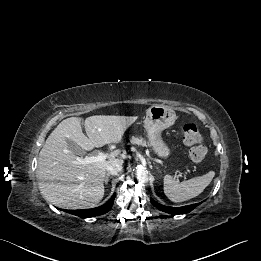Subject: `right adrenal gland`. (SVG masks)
<instances>
[{
	"instance_id": "2a0ac1e0",
	"label": "right adrenal gland",
	"mask_w": 261,
	"mask_h": 261,
	"mask_svg": "<svg viewBox=\"0 0 261 261\" xmlns=\"http://www.w3.org/2000/svg\"><path fill=\"white\" fill-rule=\"evenodd\" d=\"M109 177H110V174H107L106 177H105V179H104L105 184L108 183V181H109Z\"/></svg>"
}]
</instances>
